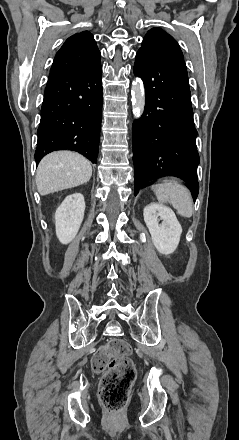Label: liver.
<instances>
[{
  "label": "liver",
  "instance_id": "obj_1",
  "mask_svg": "<svg viewBox=\"0 0 239 440\" xmlns=\"http://www.w3.org/2000/svg\"><path fill=\"white\" fill-rule=\"evenodd\" d=\"M92 166L86 158L74 152H52L41 160L36 174L40 196L75 188L89 182Z\"/></svg>",
  "mask_w": 239,
  "mask_h": 440
}]
</instances>
